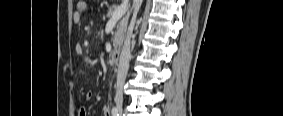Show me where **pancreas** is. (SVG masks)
Segmentation results:
<instances>
[{"label":"pancreas","mask_w":283,"mask_h":116,"mask_svg":"<svg viewBox=\"0 0 283 116\" xmlns=\"http://www.w3.org/2000/svg\"><path fill=\"white\" fill-rule=\"evenodd\" d=\"M117 8L116 5L111 6L108 9L107 17L110 18L112 16V13ZM127 27V18H123L116 26L117 31L115 32L114 40H113V46L116 48L117 46L122 44L123 36L126 31Z\"/></svg>","instance_id":"cf45deb5"}]
</instances>
